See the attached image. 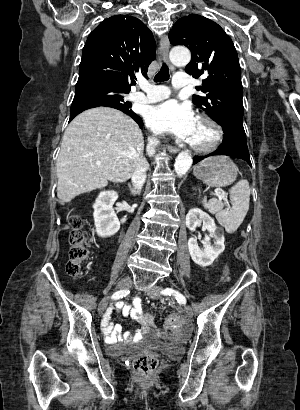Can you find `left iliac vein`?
I'll return each instance as SVG.
<instances>
[{"instance_id":"4c4485c4","label":"left iliac vein","mask_w":300,"mask_h":410,"mask_svg":"<svg viewBox=\"0 0 300 410\" xmlns=\"http://www.w3.org/2000/svg\"><path fill=\"white\" fill-rule=\"evenodd\" d=\"M160 287L159 286H152L150 289H148L146 292H147V295L150 297V298H152V299H157V298H159V291H160ZM185 313H186V315L187 316H189V317H192V315H193V310H192V308H191V306H189V305H187V306H185Z\"/></svg>"}]
</instances>
